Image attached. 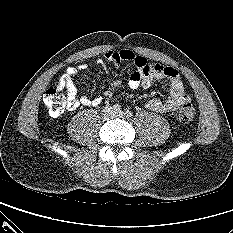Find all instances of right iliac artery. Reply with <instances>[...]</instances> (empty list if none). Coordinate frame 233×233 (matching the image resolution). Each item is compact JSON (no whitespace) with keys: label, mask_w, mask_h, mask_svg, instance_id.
<instances>
[{"label":"right iliac artery","mask_w":233,"mask_h":233,"mask_svg":"<svg viewBox=\"0 0 233 233\" xmlns=\"http://www.w3.org/2000/svg\"><path fill=\"white\" fill-rule=\"evenodd\" d=\"M113 110H114L115 112H119V111H121V107H120V105L115 104V105L113 106Z\"/></svg>","instance_id":"1"}]
</instances>
